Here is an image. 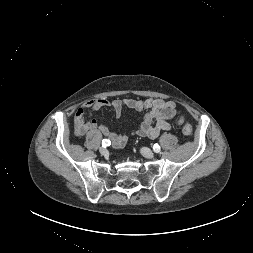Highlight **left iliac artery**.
Returning <instances> with one entry per match:
<instances>
[{"label": "left iliac artery", "mask_w": 253, "mask_h": 253, "mask_svg": "<svg viewBox=\"0 0 253 253\" xmlns=\"http://www.w3.org/2000/svg\"><path fill=\"white\" fill-rule=\"evenodd\" d=\"M153 150H154V152H156V153L160 152V146H159L158 144H155V145L153 146Z\"/></svg>", "instance_id": "1"}]
</instances>
